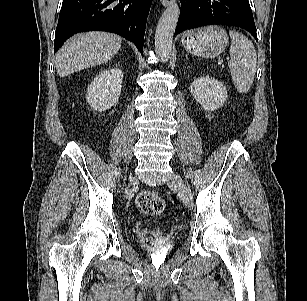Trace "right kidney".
<instances>
[{
    "instance_id": "obj_1",
    "label": "right kidney",
    "mask_w": 307,
    "mask_h": 301,
    "mask_svg": "<svg viewBox=\"0 0 307 301\" xmlns=\"http://www.w3.org/2000/svg\"><path fill=\"white\" fill-rule=\"evenodd\" d=\"M123 72L114 67L103 70L91 82L86 100L96 111H105L118 101L122 88Z\"/></svg>"
}]
</instances>
